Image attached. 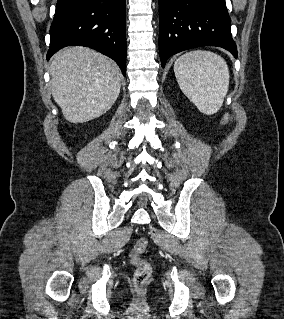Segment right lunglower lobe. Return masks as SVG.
Wrapping results in <instances>:
<instances>
[{
  "label": "right lung lower lobe",
  "mask_w": 284,
  "mask_h": 319,
  "mask_svg": "<svg viewBox=\"0 0 284 319\" xmlns=\"http://www.w3.org/2000/svg\"><path fill=\"white\" fill-rule=\"evenodd\" d=\"M47 60L63 47L80 45L112 58L126 74L125 0H58Z\"/></svg>",
  "instance_id": "98d812e1"
}]
</instances>
